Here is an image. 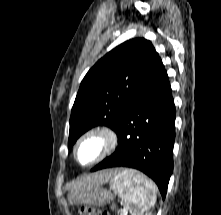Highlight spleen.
<instances>
[{"mask_svg":"<svg viewBox=\"0 0 221 215\" xmlns=\"http://www.w3.org/2000/svg\"><path fill=\"white\" fill-rule=\"evenodd\" d=\"M110 188L125 201L132 215H149L157 198V188L154 182L143 174L123 170L116 173L110 181Z\"/></svg>","mask_w":221,"mask_h":215,"instance_id":"1","label":"spleen"}]
</instances>
